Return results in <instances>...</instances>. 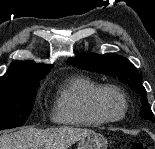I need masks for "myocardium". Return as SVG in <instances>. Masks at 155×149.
<instances>
[{"instance_id":"f54148a6","label":"myocardium","mask_w":155,"mask_h":149,"mask_svg":"<svg viewBox=\"0 0 155 149\" xmlns=\"http://www.w3.org/2000/svg\"><path fill=\"white\" fill-rule=\"evenodd\" d=\"M107 93L115 94L121 99V101L123 103V110H122L121 115H119L117 117H113V116L109 115L106 112V110L104 109L102 100H103L104 95H106ZM92 103H93V108H94L95 112L106 122L121 121L122 119L125 118V116L128 112V107H129L128 100H127V97L124 94V92L120 88H118L114 85L99 86L97 88V90L95 91V93L93 94Z\"/></svg>"}]
</instances>
